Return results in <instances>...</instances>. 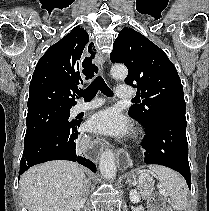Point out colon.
<instances>
[{"label":"colon","mask_w":209,"mask_h":211,"mask_svg":"<svg viewBox=\"0 0 209 211\" xmlns=\"http://www.w3.org/2000/svg\"><path fill=\"white\" fill-rule=\"evenodd\" d=\"M166 211H173L171 208H167Z\"/></svg>","instance_id":"obj_1"}]
</instances>
